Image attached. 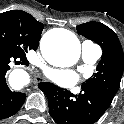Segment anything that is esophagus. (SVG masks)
Returning a JSON list of instances; mask_svg holds the SVG:
<instances>
[{
  "label": "esophagus",
  "mask_w": 124,
  "mask_h": 124,
  "mask_svg": "<svg viewBox=\"0 0 124 124\" xmlns=\"http://www.w3.org/2000/svg\"><path fill=\"white\" fill-rule=\"evenodd\" d=\"M35 80H36V82H40V81L44 80V78L40 77V76H36Z\"/></svg>",
  "instance_id": "obj_1"
}]
</instances>
